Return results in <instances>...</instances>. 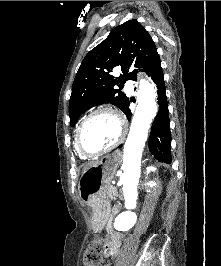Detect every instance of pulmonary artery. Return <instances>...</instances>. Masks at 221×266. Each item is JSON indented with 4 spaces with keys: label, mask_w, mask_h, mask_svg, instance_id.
<instances>
[{
    "label": "pulmonary artery",
    "mask_w": 221,
    "mask_h": 266,
    "mask_svg": "<svg viewBox=\"0 0 221 266\" xmlns=\"http://www.w3.org/2000/svg\"><path fill=\"white\" fill-rule=\"evenodd\" d=\"M132 85L131 84H127V86H126V90L129 92V93H131L132 92Z\"/></svg>",
    "instance_id": "pulmonary-artery-1"
}]
</instances>
